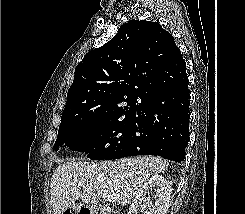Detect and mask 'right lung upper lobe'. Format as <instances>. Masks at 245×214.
Masks as SVG:
<instances>
[{"mask_svg":"<svg viewBox=\"0 0 245 214\" xmlns=\"http://www.w3.org/2000/svg\"><path fill=\"white\" fill-rule=\"evenodd\" d=\"M186 79V64L172 35L157 22L131 20L76 66L62 115L121 114L136 109L156 88Z\"/></svg>","mask_w":245,"mask_h":214,"instance_id":"cb5924a9","label":"right lung upper lobe"}]
</instances>
